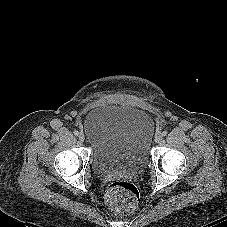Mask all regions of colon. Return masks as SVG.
<instances>
[{"label": "colon", "mask_w": 227, "mask_h": 227, "mask_svg": "<svg viewBox=\"0 0 227 227\" xmlns=\"http://www.w3.org/2000/svg\"><path fill=\"white\" fill-rule=\"evenodd\" d=\"M138 200L139 192L129 181L116 180L107 187L105 201L119 215L132 213L137 207Z\"/></svg>", "instance_id": "1"}]
</instances>
